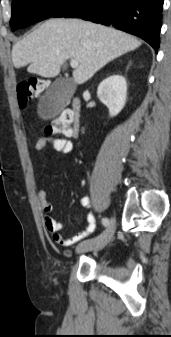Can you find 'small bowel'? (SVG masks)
<instances>
[{
  "label": "small bowel",
  "instance_id": "obj_1",
  "mask_svg": "<svg viewBox=\"0 0 171 337\" xmlns=\"http://www.w3.org/2000/svg\"><path fill=\"white\" fill-rule=\"evenodd\" d=\"M46 146H51L54 150L64 154H70L74 150L73 142L65 137L56 135H45L39 137L34 145L35 151L40 153ZM39 206L44 213V225L47 231L51 234L53 240L62 246H71L92 234L96 229V219L94 214L90 211L87 215L88 225L82 232L77 233L72 237H65L62 234L63 224L55 220L49 215L52 211V205L47 199V192L44 189H39L37 193ZM81 205L85 208H91V202L88 197L81 198Z\"/></svg>",
  "mask_w": 171,
  "mask_h": 337
}]
</instances>
